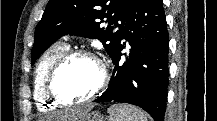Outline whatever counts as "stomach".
Here are the masks:
<instances>
[{"instance_id": "obj_1", "label": "stomach", "mask_w": 217, "mask_h": 121, "mask_svg": "<svg viewBox=\"0 0 217 121\" xmlns=\"http://www.w3.org/2000/svg\"><path fill=\"white\" fill-rule=\"evenodd\" d=\"M82 121H104V117L98 112L87 114Z\"/></svg>"}]
</instances>
